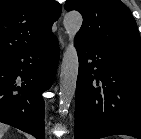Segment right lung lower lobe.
Returning a JSON list of instances; mask_svg holds the SVG:
<instances>
[{
	"mask_svg": "<svg viewBox=\"0 0 141 139\" xmlns=\"http://www.w3.org/2000/svg\"><path fill=\"white\" fill-rule=\"evenodd\" d=\"M59 59L56 36L0 56V122L44 139L42 93L53 83Z\"/></svg>",
	"mask_w": 141,
	"mask_h": 139,
	"instance_id": "98d812e1",
	"label": "right lung lower lobe"
}]
</instances>
